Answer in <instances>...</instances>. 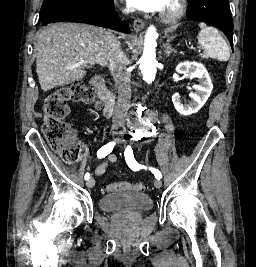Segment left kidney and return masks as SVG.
<instances>
[{
    "mask_svg": "<svg viewBox=\"0 0 256 267\" xmlns=\"http://www.w3.org/2000/svg\"><path fill=\"white\" fill-rule=\"evenodd\" d=\"M176 72L178 74H185L187 78H198L199 84H194L195 92H190L189 96L191 98L189 104H182L181 96L176 92L172 96V102L174 104L175 110L183 116H190V114H196L205 102H207L212 90L213 84L211 78L203 64L199 62H180L176 66Z\"/></svg>",
    "mask_w": 256,
    "mask_h": 267,
    "instance_id": "1",
    "label": "left kidney"
}]
</instances>
